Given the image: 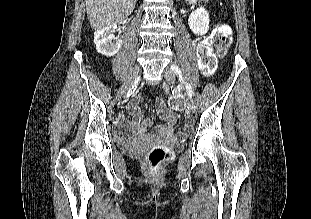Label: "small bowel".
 <instances>
[{
  "instance_id": "c3829d8e",
  "label": "small bowel",
  "mask_w": 311,
  "mask_h": 219,
  "mask_svg": "<svg viewBox=\"0 0 311 219\" xmlns=\"http://www.w3.org/2000/svg\"><path fill=\"white\" fill-rule=\"evenodd\" d=\"M211 73V72H210ZM127 111L133 115V123L131 124V135L138 139H145L148 134L149 127L153 124V120L151 118H144L143 113L139 108V99L135 97L129 101L126 107ZM157 109L159 113L166 119V124L162 125L155 129V136H168L174 137L178 140H182L186 134L190 133L191 125L190 122L186 119L184 121V127L182 130L178 132L173 131V127L177 123L179 116L177 114L169 115L168 112L164 108V104L162 101L157 103ZM125 123V117L123 115L120 116L118 121V131L121 136H124L129 133L126 129L124 133H121V126Z\"/></svg>"
}]
</instances>
